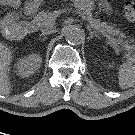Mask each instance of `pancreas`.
Listing matches in <instances>:
<instances>
[{
    "label": "pancreas",
    "instance_id": "obj_1",
    "mask_svg": "<svg viewBox=\"0 0 135 135\" xmlns=\"http://www.w3.org/2000/svg\"><path fill=\"white\" fill-rule=\"evenodd\" d=\"M77 7L80 11H82L89 25L93 27L96 31L107 32L112 35L119 34L120 37H124V35L120 33L119 30L114 29L113 26L107 25L105 22H101L98 19H94L89 8H85L79 4H77ZM57 16H58V11L55 12L41 11L34 17L32 22L35 24L37 28L48 29L53 26V24L49 23V19L51 17H57ZM120 43L124 45V47L128 50H131L133 48L127 45L128 44L127 41L120 40Z\"/></svg>",
    "mask_w": 135,
    "mask_h": 135
}]
</instances>
